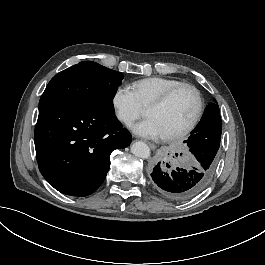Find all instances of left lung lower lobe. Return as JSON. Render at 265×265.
Returning a JSON list of instances; mask_svg holds the SVG:
<instances>
[{
	"label": "left lung lower lobe",
	"instance_id": "1",
	"mask_svg": "<svg viewBox=\"0 0 265 265\" xmlns=\"http://www.w3.org/2000/svg\"><path fill=\"white\" fill-rule=\"evenodd\" d=\"M197 135L191 136V138ZM195 155L196 161L188 168H172L158 163L151 173V183L163 196L174 201H187L201 193L214 176L219 146L184 141Z\"/></svg>",
	"mask_w": 265,
	"mask_h": 265
}]
</instances>
